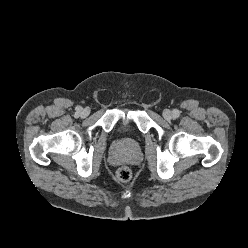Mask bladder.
Returning <instances> with one entry per match:
<instances>
[{
	"label": "bladder",
	"mask_w": 248,
	"mask_h": 248,
	"mask_svg": "<svg viewBox=\"0 0 248 248\" xmlns=\"http://www.w3.org/2000/svg\"><path fill=\"white\" fill-rule=\"evenodd\" d=\"M127 127H128V124H127V123H124V124L121 125V128H122V129H125V128H127Z\"/></svg>",
	"instance_id": "1"
}]
</instances>
